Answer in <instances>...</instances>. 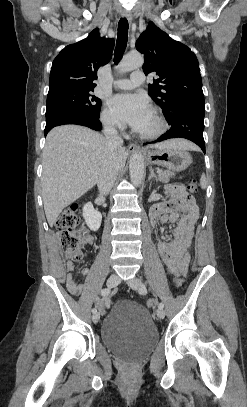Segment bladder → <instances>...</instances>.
<instances>
[{
    "mask_svg": "<svg viewBox=\"0 0 247 407\" xmlns=\"http://www.w3.org/2000/svg\"><path fill=\"white\" fill-rule=\"evenodd\" d=\"M101 340L118 357L137 362L155 348L158 331L147 309L123 300L109 308L101 326Z\"/></svg>",
    "mask_w": 247,
    "mask_h": 407,
    "instance_id": "obj_1",
    "label": "bladder"
}]
</instances>
